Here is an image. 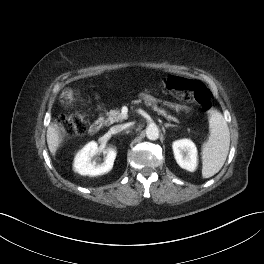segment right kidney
Segmentation results:
<instances>
[{"instance_id":"right-kidney-1","label":"right kidney","mask_w":264,"mask_h":264,"mask_svg":"<svg viewBox=\"0 0 264 264\" xmlns=\"http://www.w3.org/2000/svg\"><path fill=\"white\" fill-rule=\"evenodd\" d=\"M104 152L106 153V157L103 163L97 165L95 162H92V157L98 153V145L94 141L89 142L75 156V171L84 176H97L108 173L113 167L117 153L112 148Z\"/></svg>"}]
</instances>
